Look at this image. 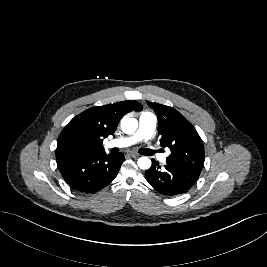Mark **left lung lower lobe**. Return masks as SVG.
<instances>
[{
	"instance_id": "1",
	"label": "left lung lower lobe",
	"mask_w": 267,
	"mask_h": 267,
	"mask_svg": "<svg viewBox=\"0 0 267 267\" xmlns=\"http://www.w3.org/2000/svg\"><path fill=\"white\" fill-rule=\"evenodd\" d=\"M200 173L167 164L161 167L152 160V166L145 173L146 180L159 193L174 196L187 192L198 180Z\"/></svg>"
}]
</instances>
